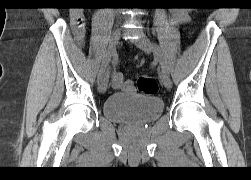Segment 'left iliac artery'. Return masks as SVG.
Returning <instances> with one entry per match:
<instances>
[{
    "label": "left iliac artery",
    "mask_w": 251,
    "mask_h": 180,
    "mask_svg": "<svg viewBox=\"0 0 251 180\" xmlns=\"http://www.w3.org/2000/svg\"><path fill=\"white\" fill-rule=\"evenodd\" d=\"M153 48H154V52H155L157 58L160 61V65H161L162 70L168 73V67H167L166 61L163 57V52H162L161 48L156 43L153 44Z\"/></svg>",
    "instance_id": "44dca946"
}]
</instances>
